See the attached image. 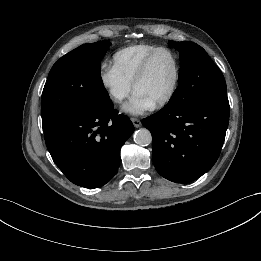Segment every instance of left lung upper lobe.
<instances>
[{"label":"left lung upper lobe","instance_id":"obj_1","mask_svg":"<svg viewBox=\"0 0 261 261\" xmlns=\"http://www.w3.org/2000/svg\"><path fill=\"white\" fill-rule=\"evenodd\" d=\"M180 52L179 86L166 106L182 108L197 99L226 92V82L206 51L193 42H169Z\"/></svg>","mask_w":261,"mask_h":261}]
</instances>
